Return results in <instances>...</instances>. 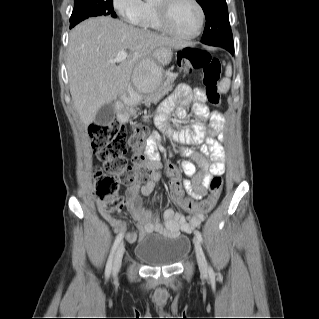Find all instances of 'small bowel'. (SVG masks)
Returning a JSON list of instances; mask_svg holds the SVG:
<instances>
[{
    "label": "small bowel",
    "instance_id": "obj_1",
    "mask_svg": "<svg viewBox=\"0 0 319 319\" xmlns=\"http://www.w3.org/2000/svg\"><path fill=\"white\" fill-rule=\"evenodd\" d=\"M192 105V113L195 116L190 128L173 131L168 127V117L175 109L179 118L184 119L187 115L186 106ZM209 123L206 125L205 121ZM156 122L166 136L177 144L182 145L180 152L183 156L192 158L201 168L197 172L195 165L190 161L181 163L182 171L191 177L184 181L187 194L193 199H201L209 188L212 177L222 175L225 172L224 151L221 145L224 117L219 111H210L205 103V94L201 88H191L188 83L179 84L172 94L166 98L158 108ZM147 147L150 157L151 173L143 184L135 183L126 187L125 203L129 208L139 230V236L134 231L128 230L125 221L114 217L112 214L103 212L105 219L118 231L125 234L128 241L133 242L138 237L143 238L152 231H157L167 236H173L179 232H190L199 227L204 221V214L195 211L185 215L172 208L166 209L161 215L153 214L141 201L140 196L150 195L160 177L162 164L156 154L157 149H162L158 134L153 132ZM201 144L200 152L193 151L184 145ZM155 145V146H153ZM211 156V162L205 156ZM167 173L174 175L177 168L173 163L167 164ZM160 198L154 196V200ZM104 206V203L101 205Z\"/></svg>",
    "mask_w": 319,
    "mask_h": 319
}]
</instances>
